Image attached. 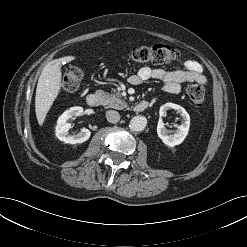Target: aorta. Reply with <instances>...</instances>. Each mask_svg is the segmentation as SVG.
I'll return each instance as SVG.
<instances>
[{
    "instance_id": "762f6f07",
    "label": "aorta",
    "mask_w": 247,
    "mask_h": 247,
    "mask_svg": "<svg viewBox=\"0 0 247 247\" xmlns=\"http://www.w3.org/2000/svg\"><path fill=\"white\" fill-rule=\"evenodd\" d=\"M147 119L144 116H135L131 119L129 127L132 131L140 132L145 129Z\"/></svg>"
}]
</instances>
